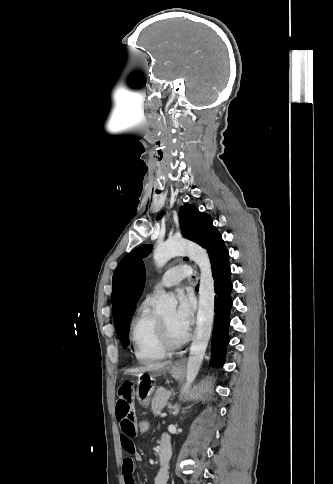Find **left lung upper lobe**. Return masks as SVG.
Segmentation results:
<instances>
[{"label":"left lung upper lobe","instance_id":"left-lung-upper-lobe-1","mask_svg":"<svg viewBox=\"0 0 333 484\" xmlns=\"http://www.w3.org/2000/svg\"><path fill=\"white\" fill-rule=\"evenodd\" d=\"M179 220L183 236L201 246L206 225L212 221L211 216L200 212L196 206L186 203L179 210ZM151 249L152 247L149 245H142L131 251L120 261L113 274V291L118 287L120 279L130 264L138 258L146 257Z\"/></svg>","mask_w":333,"mask_h":484}]
</instances>
